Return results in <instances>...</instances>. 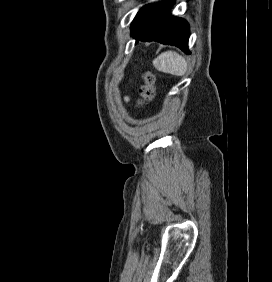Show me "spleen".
<instances>
[{"label": "spleen", "instance_id": "1", "mask_svg": "<svg viewBox=\"0 0 272 282\" xmlns=\"http://www.w3.org/2000/svg\"><path fill=\"white\" fill-rule=\"evenodd\" d=\"M154 67L163 73L183 76L187 71V62L178 53L167 51L153 60Z\"/></svg>", "mask_w": 272, "mask_h": 282}]
</instances>
